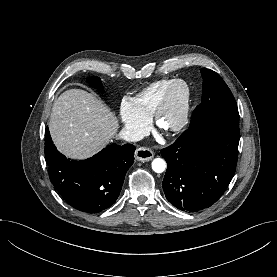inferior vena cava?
Here are the masks:
<instances>
[{"label": "inferior vena cava", "instance_id": "inferior-vena-cava-1", "mask_svg": "<svg viewBox=\"0 0 277 277\" xmlns=\"http://www.w3.org/2000/svg\"><path fill=\"white\" fill-rule=\"evenodd\" d=\"M119 137L128 142H135L141 140V136L130 128H123Z\"/></svg>", "mask_w": 277, "mask_h": 277}]
</instances>
